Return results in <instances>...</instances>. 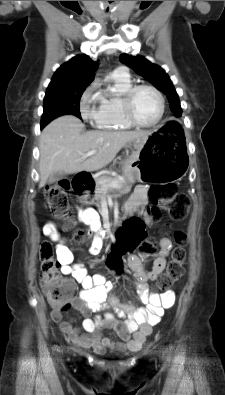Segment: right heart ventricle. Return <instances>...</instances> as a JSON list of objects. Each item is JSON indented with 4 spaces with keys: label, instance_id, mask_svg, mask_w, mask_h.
<instances>
[{
    "label": "right heart ventricle",
    "instance_id": "1",
    "mask_svg": "<svg viewBox=\"0 0 225 395\" xmlns=\"http://www.w3.org/2000/svg\"><path fill=\"white\" fill-rule=\"evenodd\" d=\"M106 88L98 91L99 103L95 126L103 130H126L132 127L122 113L121 98L123 93L132 86L128 76L111 73L106 78Z\"/></svg>",
    "mask_w": 225,
    "mask_h": 395
}]
</instances>
